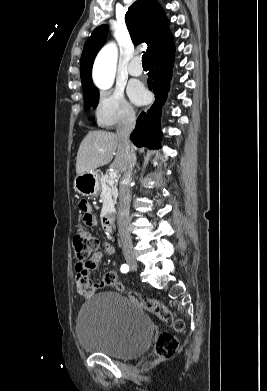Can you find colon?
I'll use <instances>...</instances> for the list:
<instances>
[{
    "instance_id": "obj_1",
    "label": "colon",
    "mask_w": 267,
    "mask_h": 391,
    "mask_svg": "<svg viewBox=\"0 0 267 391\" xmlns=\"http://www.w3.org/2000/svg\"><path fill=\"white\" fill-rule=\"evenodd\" d=\"M98 246L99 240L95 235L87 231L76 233L73 238V248L77 262L80 264L90 263ZM107 281L109 286L123 290L122 284L114 273L108 274ZM129 298L146 311L154 314L160 321L171 324L176 331L180 332L184 329L183 321L174 318L171 310L160 301L143 298L137 293H130ZM178 346L176 336L170 332H162L155 343V354L162 359L170 358L176 353Z\"/></svg>"
}]
</instances>
